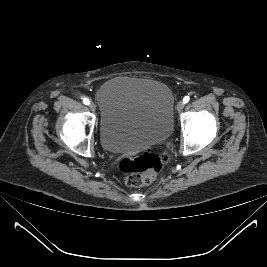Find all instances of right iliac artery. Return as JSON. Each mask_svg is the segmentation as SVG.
Segmentation results:
<instances>
[{
  "label": "right iliac artery",
  "mask_w": 267,
  "mask_h": 267,
  "mask_svg": "<svg viewBox=\"0 0 267 267\" xmlns=\"http://www.w3.org/2000/svg\"><path fill=\"white\" fill-rule=\"evenodd\" d=\"M84 104L89 105L90 101L87 98H84L83 100Z\"/></svg>",
  "instance_id": "1"
}]
</instances>
